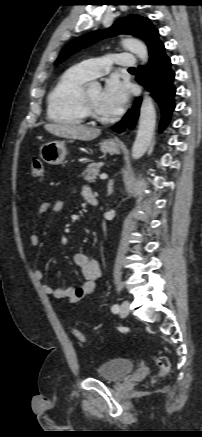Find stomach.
Segmentation results:
<instances>
[{"label":"stomach","instance_id":"stomach-1","mask_svg":"<svg viewBox=\"0 0 202 437\" xmlns=\"http://www.w3.org/2000/svg\"><path fill=\"white\" fill-rule=\"evenodd\" d=\"M100 150L104 154H119L120 145L113 139L104 140L100 144ZM67 155L65 143L62 141H52L45 143L40 148L41 159L51 165H58L63 162Z\"/></svg>","mask_w":202,"mask_h":437}]
</instances>
